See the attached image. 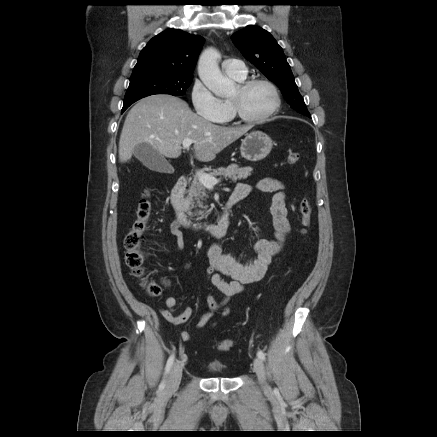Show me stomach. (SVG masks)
I'll return each mask as SVG.
<instances>
[{"instance_id":"stomach-1","label":"stomach","mask_w":437,"mask_h":437,"mask_svg":"<svg viewBox=\"0 0 437 437\" xmlns=\"http://www.w3.org/2000/svg\"><path fill=\"white\" fill-rule=\"evenodd\" d=\"M272 147L273 142L267 134L253 131L242 139L240 151L243 158L249 161H259L271 152Z\"/></svg>"}]
</instances>
